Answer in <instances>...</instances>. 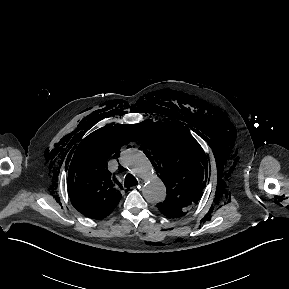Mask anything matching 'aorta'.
<instances>
[{"mask_svg": "<svg viewBox=\"0 0 289 289\" xmlns=\"http://www.w3.org/2000/svg\"><path fill=\"white\" fill-rule=\"evenodd\" d=\"M120 163L142 179L143 196L150 203L163 202L166 198V187L158 177L146 155L138 149H127L121 153Z\"/></svg>", "mask_w": 289, "mask_h": 289, "instance_id": "762f6f07", "label": "aorta"}]
</instances>
